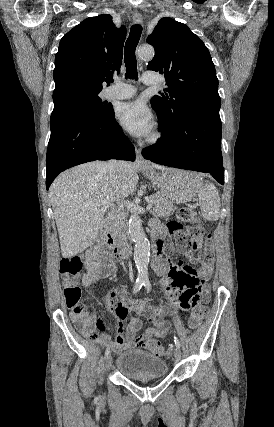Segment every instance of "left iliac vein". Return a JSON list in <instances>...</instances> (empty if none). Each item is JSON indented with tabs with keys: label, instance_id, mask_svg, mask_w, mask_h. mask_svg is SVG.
Here are the masks:
<instances>
[{
	"label": "left iliac vein",
	"instance_id": "4c4485c4",
	"mask_svg": "<svg viewBox=\"0 0 274 427\" xmlns=\"http://www.w3.org/2000/svg\"><path fill=\"white\" fill-rule=\"evenodd\" d=\"M174 356H175V362L179 363L181 361L182 358V354H181V350L180 348L176 347L174 350Z\"/></svg>",
	"mask_w": 274,
	"mask_h": 427
}]
</instances>
